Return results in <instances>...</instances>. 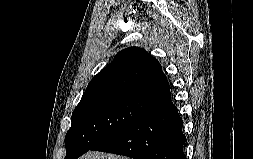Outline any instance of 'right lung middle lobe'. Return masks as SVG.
I'll return each instance as SVG.
<instances>
[{
	"mask_svg": "<svg viewBox=\"0 0 253 159\" xmlns=\"http://www.w3.org/2000/svg\"><path fill=\"white\" fill-rule=\"evenodd\" d=\"M156 106L150 101L126 95L81 100L72 113L71 128L65 137V159L78 158Z\"/></svg>",
	"mask_w": 253,
	"mask_h": 159,
	"instance_id": "obj_1",
	"label": "right lung middle lobe"
}]
</instances>
